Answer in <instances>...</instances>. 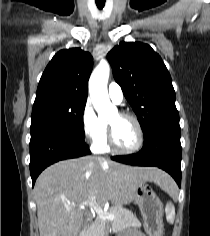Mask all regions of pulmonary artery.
Here are the masks:
<instances>
[{
    "label": "pulmonary artery",
    "instance_id": "1",
    "mask_svg": "<svg viewBox=\"0 0 210 236\" xmlns=\"http://www.w3.org/2000/svg\"><path fill=\"white\" fill-rule=\"evenodd\" d=\"M108 95L110 99L116 104L121 103L123 100V91L121 87L115 82H112L108 86Z\"/></svg>",
    "mask_w": 210,
    "mask_h": 236
}]
</instances>
